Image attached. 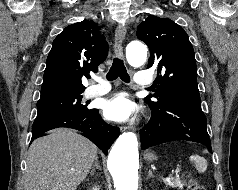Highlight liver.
Instances as JSON below:
<instances>
[{"label":"liver","instance_id":"1","mask_svg":"<svg viewBox=\"0 0 238 190\" xmlns=\"http://www.w3.org/2000/svg\"><path fill=\"white\" fill-rule=\"evenodd\" d=\"M96 157L90 140L72 129H54L28 150L24 190H76Z\"/></svg>","mask_w":238,"mask_h":190}]
</instances>
